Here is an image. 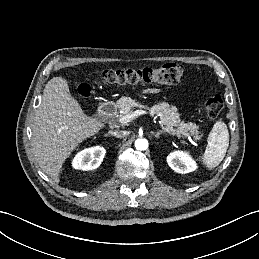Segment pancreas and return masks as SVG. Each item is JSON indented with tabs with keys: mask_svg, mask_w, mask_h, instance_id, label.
<instances>
[{
	"mask_svg": "<svg viewBox=\"0 0 259 259\" xmlns=\"http://www.w3.org/2000/svg\"><path fill=\"white\" fill-rule=\"evenodd\" d=\"M116 107L122 111V113L118 115L119 117L131 114L134 107L148 108L152 114L160 117L161 127L169 134L177 135L182 138L192 137L194 140H199L203 136L199 130V126L192 122L185 123L181 121L177 108L166 102H158L152 107H148L136 102V100L130 97L123 96L117 101Z\"/></svg>",
	"mask_w": 259,
	"mask_h": 259,
	"instance_id": "1",
	"label": "pancreas"
}]
</instances>
